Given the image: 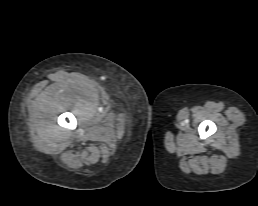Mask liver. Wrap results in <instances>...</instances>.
<instances>
[{"label":"liver","instance_id":"1","mask_svg":"<svg viewBox=\"0 0 258 206\" xmlns=\"http://www.w3.org/2000/svg\"><path fill=\"white\" fill-rule=\"evenodd\" d=\"M46 93H47V92H46V91H44V92L42 93V95H43V96H45V95H46Z\"/></svg>","mask_w":258,"mask_h":206}]
</instances>
